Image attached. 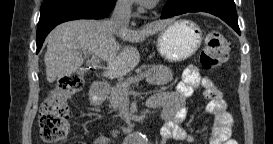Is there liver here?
<instances>
[{
  "mask_svg": "<svg viewBox=\"0 0 273 144\" xmlns=\"http://www.w3.org/2000/svg\"><path fill=\"white\" fill-rule=\"evenodd\" d=\"M173 19L148 23L140 30L115 29L110 20H74L55 27L47 37L44 55L49 83L69 77L83 65L82 53H93L107 63L103 76L113 79L132 71L140 61L135 47L121 46L117 40L140 42L173 23Z\"/></svg>",
  "mask_w": 273,
  "mask_h": 144,
  "instance_id": "1",
  "label": "liver"
}]
</instances>
